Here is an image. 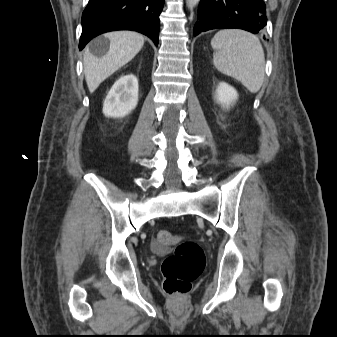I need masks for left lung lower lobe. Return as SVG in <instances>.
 Returning a JSON list of instances; mask_svg holds the SVG:
<instances>
[{"mask_svg":"<svg viewBox=\"0 0 337 337\" xmlns=\"http://www.w3.org/2000/svg\"><path fill=\"white\" fill-rule=\"evenodd\" d=\"M263 0H201L194 35L210 29H244L254 34L267 24Z\"/></svg>","mask_w":337,"mask_h":337,"instance_id":"0a47b994","label":"left lung lower lobe"}]
</instances>
